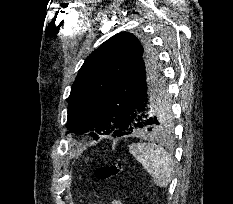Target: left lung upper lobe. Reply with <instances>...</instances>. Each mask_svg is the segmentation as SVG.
I'll return each instance as SVG.
<instances>
[{"instance_id": "5c2ea615", "label": "left lung upper lobe", "mask_w": 233, "mask_h": 204, "mask_svg": "<svg viewBox=\"0 0 233 204\" xmlns=\"http://www.w3.org/2000/svg\"><path fill=\"white\" fill-rule=\"evenodd\" d=\"M151 59L156 56L150 44L129 32L114 35L93 51L71 88L67 133H87L96 140L100 135L121 136L124 132L116 120L119 104L137 69ZM154 114L157 129L168 131L173 115L166 89Z\"/></svg>"}]
</instances>
